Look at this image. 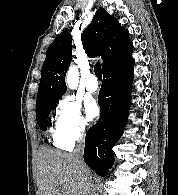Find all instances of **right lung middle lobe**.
Returning a JSON list of instances; mask_svg holds the SVG:
<instances>
[{"label": "right lung middle lobe", "mask_w": 178, "mask_h": 195, "mask_svg": "<svg viewBox=\"0 0 178 195\" xmlns=\"http://www.w3.org/2000/svg\"><path fill=\"white\" fill-rule=\"evenodd\" d=\"M57 101L58 100H50L36 106L37 123L41 130L45 131L47 129L48 115Z\"/></svg>", "instance_id": "dd1d6c3e"}]
</instances>
